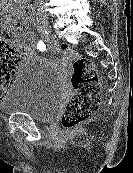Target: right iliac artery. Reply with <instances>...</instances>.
Returning a JSON list of instances; mask_svg holds the SVG:
<instances>
[{
  "label": "right iliac artery",
  "mask_w": 133,
  "mask_h": 173,
  "mask_svg": "<svg viewBox=\"0 0 133 173\" xmlns=\"http://www.w3.org/2000/svg\"><path fill=\"white\" fill-rule=\"evenodd\" d=\"M32 20L34 21L35 19L32 18ZM37 27H38V30L39 32L41 33V36L43 37V43H46V46L47 47H50L51 46V43H48L49 42V37H48V33L46 32V30L44 29V27L41 25L39 19L37 18Z\"/></svg>",
  "instance_id": "right-iliac-artery-1"
}]
</instances>
